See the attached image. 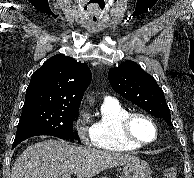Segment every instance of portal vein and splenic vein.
I'll return each instance as SVG.
<instances>
[{
  "label": "portal vein and splenic vein",
  "mask_w": 194,
  "mask_h": 178,
  "mask_svg": "<svg viewBox=\"0 0 194 178\" xmlns=\"http://www.w3.org/2000/svg\"><path fill=\"white\" fill-rule=\"evenodd\" d=\"M61 178H70V175H63Z\"/></svg>",
  "instance_id": "18ae733b"
}]
</instances>
